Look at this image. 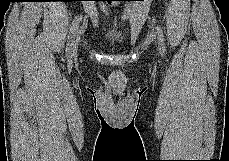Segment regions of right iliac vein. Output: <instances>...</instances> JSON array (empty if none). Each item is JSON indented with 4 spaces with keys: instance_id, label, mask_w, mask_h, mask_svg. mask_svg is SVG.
I'll list each match as a JSON object with an SVG mask.
<instances>
[{
    "instance_id": "obj_1",
    "label": "right iliac vein",
    "mask_w": 229,
    "mask_h": 161,
    "mask_svg": "<svg viewBox=\"0 0 229 161\" xmlns=\"http://www.w3.org/2000/svg\"><path fill=\"white\" fill-rule=\"evenodd\" d=\"M80 36H81V30H78L77 34L75 36V39L73 41V44H72L70 58H74L76 56L78 45H79Z\"/></svg>"
}]
</instances>
